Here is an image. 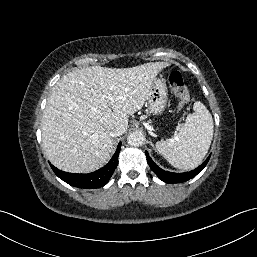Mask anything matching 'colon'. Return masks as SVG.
<instances>
[{"mask_svg": "<svg viewBox=\"0 0 257 257\" xmlns=\"http://www.w3.org/2000/svg\"><path fill=\"white\" fill-rule=\"evenodd\" d=\"M168 83L173 94L179 99V108H183L189 103V90L182 75L178 71L170 72Z\"/></svg>", "mask_w": 257, "mask_h": 257, "instance_id": "obj_1", "label": "colon"}]
</instances>
